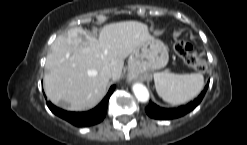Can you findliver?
<instances>
[{
    "mask_svg": "<svg viewBox=\"0 0 247 145\" xmlns=\"http://www.w3.org/2000/svg\"><path fill=\"white\" fill-rule=\"evenodd\" d=\"M151 38L147 25L138 21L108 24L98 39L81 28L69 29L55 39L46 58L47 98L70 111L95 107L107 93L109 79L102 69L108 67L111 79L119 80L125 58Z\"/></svg>",
    "mask_w": 247,
    "mask_h": 145,
    "instance_id": "liver-1",
    "label": "liver"
}]
</instances>
